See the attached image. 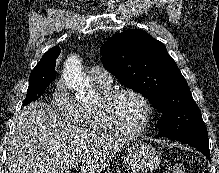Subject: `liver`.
<instances>
[{
  "instance_id": "liver-1",
  "label": "liver",
  "mask_w": 219,
  "mask_h": 173,
  "mask_svg": "<svg viewBox=\"0 0 219 173\" xmlns=\"http://www.w3.org/2000/svg\"><path fill=\"white\" fill-rule=\"evenodd\" d=\"M118 136L84 130L61 120L51 106L38 100L23 107L7 152L9 173H100L120 151Z\"/></svg>"
}]
</instances>
